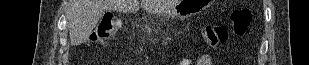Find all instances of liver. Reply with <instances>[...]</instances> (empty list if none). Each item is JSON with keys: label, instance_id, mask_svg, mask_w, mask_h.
Returning <instances> with one entry per match:
<instances>
[{"label": "liver", "instance_id": "liver-1", "mask_svg": "<svg viewBox=\"0 0 309 65\" xmlns=\"http://www.w3.org/2000/svg\"><path fill=\"white\" fill-rule=\"evenodd\" d=\"M173 0H70L66 13L71 45L86 42L105 11L137 12L140 7L150 13L174 7Z\"/></svg>", "mask_w": 309, "mask_h": 65}]
</instances>
